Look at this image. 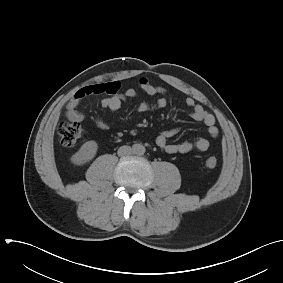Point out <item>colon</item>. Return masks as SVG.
<instances>
[{
	"label": "colon",
	"instance_id": "colon-1",
	"mask_svg": "<svg viewBox=\"0 0 283 283\" xmlns=\"http://www.w3.org/2000/svg\"><path fill=\"white\" fill-rule=\"evenodd\" d=\"M83 127L79 122H62L58 127V134L61 144L64 147H73L83 134ZM204 165L209 169H214L218 165L215 157H208L204 161Z\"/></svg>",
	"mask_w": 283,
	"mask_h": 283
}]
</instances>
